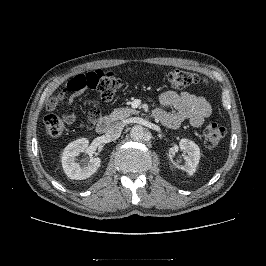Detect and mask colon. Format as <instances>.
Returning a JSON list of instances; mask_svg holds the SVG:
<instances>
[{"label": "colon", "mask_w": 266, "mask_h": 266, "mask_svg": "<svg viewBox=\"0 0 266 266\" xmlns=\"http://www.w3.org/2000/svg\"><path fill=\"white\" fill-rule=\"evenodd\" d=\"M167 81L170 87L174 89H185L191 86L208 84L206 77L178 68L168 72ZM122 86L121 79L113 72L97 70L76 75L66 84L55 100L48 103L47 114L44 117L46 133L50 137H59L64 132L65 121L55 114L54 107L70 91L96 89L101 101L111 102L117 98ZM100 113L99 107L94 106L90 111V120H96ZM225 135L226 129L223 126L216 122H211L203 130L204 144L209 148L216 147L222 142Z\"/></svg>", "instance_id": "5ec220e1"}]
</instances>
